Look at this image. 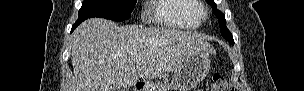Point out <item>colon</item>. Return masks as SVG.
<instances>
[{
  "label": "colon",
  "mask_w": 304,
  "mask_h": 91,
  "mask_svg": "<svg viewBox=\"0 0 304 91\" xmlns=\"http://www.w3.org/2000/svg\"><path fill=\"white\" fill-rule=\"evenodd\" d=\"M210 90L212 91H231L233 90L224 76L215 74Z\"/></svg>",
  "instance_id": "colon-1"
}]
</instances>
